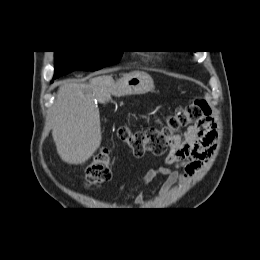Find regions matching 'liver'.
I'll return each mask as SVG.
<instances>
[{"mask_svg": "<svg viewBox=\"0 0 260 260\" xmlns=\"http://www.w3.org/2000/svg\"><path fill=\"white\" fill-rule=\"evenodd\" d=\"M114 86L110 75L91 78L86 84L65 81L60 85L53 107L52 136L64 162L82 164L100 147V115L93 93L101 100L114 95Z\"/></svg>", "mask_w": 260, "mask_h": 260, "instance_id": "liver-1", "label": "liver"}]
</instances>
